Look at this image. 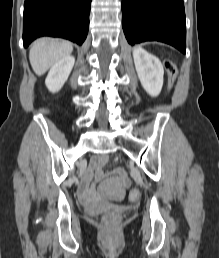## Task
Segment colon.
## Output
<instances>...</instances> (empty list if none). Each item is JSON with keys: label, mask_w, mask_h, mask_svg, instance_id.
Wrapping results in <instances>:
<instances>
[{"label": "colon", "mask_w": 219, "mask_h": 258, "mask_svg": "<svg viewBox=\"0 0 219 258\" xmlns=\"http://www.w3.org/2000/svg\"><path fill=\"white\" fill-rule=\"evenodd\" d=\"M164 67H165V70H166L167 76H168V89H169V91H171L176 82L178 68H177L176 63H174L171 60H166L164 62ZM139 197H140L139 190L132 189L130 192V199L132 201H136L137 199H139ZM120 218H121L120 213L117 210H111V211L107 212L103 218V225H104L105 231L107 233H113L119 225Z\"/></svg>", "instance_id": "1"}]
</instances>
